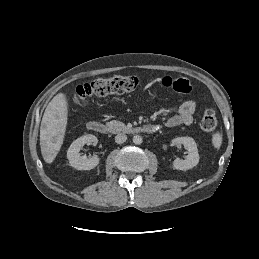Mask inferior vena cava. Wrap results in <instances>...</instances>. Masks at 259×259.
Returning a JSON list of instances; mask_svg holds the SVG:
<instances>
[{
  "instance_id": "1",
  "label": "inferior vena cava",
  "mask_w": 259,
  "mask_h": 259,
  "mask_svg": "<svg viewBox=\"0 0 259 259\" xmlns=\"http://www.w3.org/2000/svg\"><path fill=\"white\" fill-rule=\"evenodd\" d=\"M127 140V136L123 133H119L115 136V142L117 144H122Z\"/></svg>"
}]
</instances>
